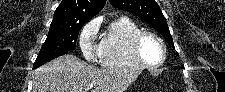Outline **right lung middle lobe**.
Here are the masks:
<instances>
[{"mask_svg": "<svg viewBox=\"0 0 225 92\" xmlns=\"http://www.w3.org/2000/svg\"><path fill=\"white\" fill-rule=\"evenodd\" d=\"M85 23L75 21L66 26H50L47 39L42 45L33 69L75 49L79 31Z\"/></svg>", "mask_w": 225, "mask_h": 92, "instance_id": "obj_1", "label": "right lung middle lobe"}]
</instances>
